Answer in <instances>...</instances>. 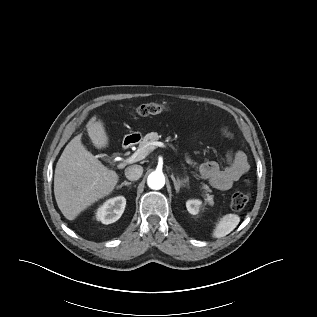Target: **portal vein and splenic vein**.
Instances as JSON below:
<instances>
[{"instance_id": "obj_1", "label": "portal vein and splenic vein", "mask_w": 317, "mask_h": 317, "mask_svg": "<svg viewBox=\"0 0 317 317\" xmlns=\"http://www.w3.org/2000/svg\"><path fill=\"white\" fill-rule=\"evenodd\" d=\"M149 145L151 146V148L153 150L156 147H162V148L166 147V145L163 142H158V141L149 143ZM147 155H148V153H147L145 147L140 148L135 153H133L127 160L122 162L121 165L123 166V165L129 164V163L140 161V160L144 159ZM181 163H182V166L185 168V164L183 162H181Z\"/></svg>"}]
</instances>
